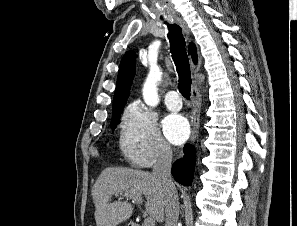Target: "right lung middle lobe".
<instances>
[{"label": "right lung middle lobe", "instance_id": "obj_1", "mask_svg": "<svg viewBox=\"0 0 297 226\" xmlns=\"http://www.w3.org/2000/svg\"><path fill=\"white\" fill-rule=\"evenodd\" d=\"M123 107H124V105L113 109L112 121H111V126H112L113 130L115 128V125L117 124V121L120 118V115L123 111Z\"/></svg>", "mask_w": 297, "mask_h": 226}]
</instances>
